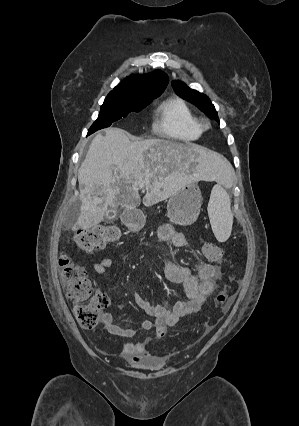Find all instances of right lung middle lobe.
I'll return each mask as SVG.
<instances>
[{
    "label": "right lung middle lobe",
    "instance_id": "right-lung-middle-lobe-1",
    "mask_svg": "<svg viewBox=\"0 0 299 426\" xmlns=\"http://www.w3.org/2000/svg\"><path fill=\"white\" fill-rule=\"evenodd\" d=\"M163 91H150L141 94L137 99H122L108 94L101 106L98 119L88 130V135L109 127L113 122L126 117L130 112H139Z\"/></svg>",
    "mask_w": 299,
    "mask_h": 426
}]
</instances>
